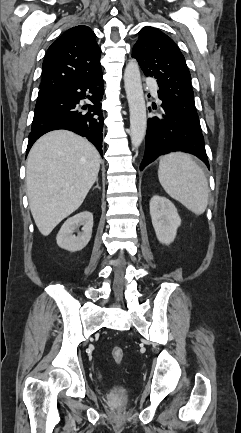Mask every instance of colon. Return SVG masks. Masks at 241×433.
Segmentation results:
<instances>
[{
  "instance_id": "obj_1",
  "label": "colon",
  "mask_w": 241,
  "mask_h": 433,
  "mask_svg": "<svg viewBox=\"0 0 241 433\" xmlns=\"http://www.w3.org/2000/svg\"><path fill=\"white\" fill-rule=\"evenodd\" d=\"M111 354H112L113 359L117 363L122 362L123 357H124V351L121 347H117V346L113 347L111 350Z\"/></svg>"
}]
</instances>
